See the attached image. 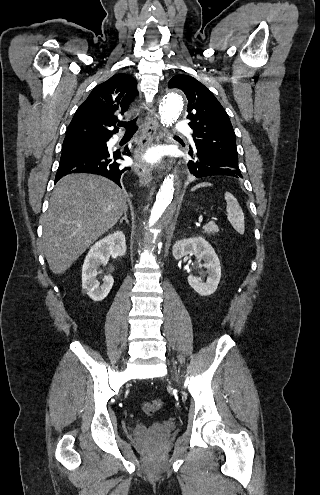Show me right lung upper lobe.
<instances>
[{"label": "right lung upper lobe", "mask_w": 320, "mask_h": 495, "mask_svg": "<svg viewBox=\"0 0 320 495\" xmlns=\"http://www.w3.org/2000/svg\"><path fill=\"white\" fill-rule=\"evenodd\" d=\"M136 85V79L124 73L115 74L97 85L75 112L64 141L108 139L118 132L117 116L124 114L138 94Z\"/></svg>", "instance_id": "obj_1"}]
</instances>
